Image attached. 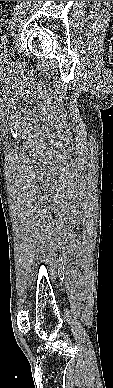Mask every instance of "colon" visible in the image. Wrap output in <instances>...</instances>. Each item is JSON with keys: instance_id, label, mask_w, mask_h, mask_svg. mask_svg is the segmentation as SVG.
<instances>
[{"instance_id": "5ec220e1", "label": "colon", "mask_w": 113, "mask_h": 388, "mask_svg": "<svg viewBox=\"0 0 113 388\" xmlns=\"http://www.w3.org/2000/svg\"><path fill=\"white\" fill-rule=\"evenodd\" d=\"M7 1H0V7H2Z\"/></svg>"}]
</instances>
